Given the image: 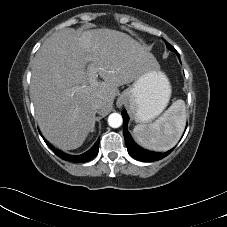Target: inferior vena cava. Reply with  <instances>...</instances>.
Returning a JSON list of instances; mask_svg holds the SVG:
<instances>
[{
	"instance_id": "602c4592",
	"label": "inferior vena cava",
	"mask_w": 227,
	"mask_h": 227,
	"mask_svg": "<svg viewBox=\"0 0 227 227\" xmlns=\"http://www.w3.org/2000/svg\"><path fill=\"white\" fill-rule=\"evenodd\" d=\"M93 107H94V109L95 110H100L101 108H102V106H103V102H102V100H100V99H96L94 102H93Z\"/></svg>"
}]
</instances>
